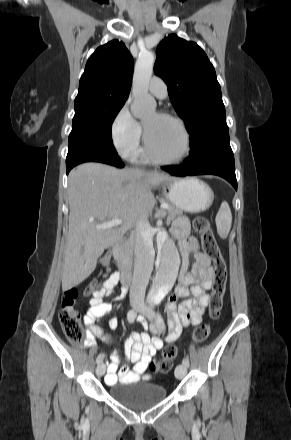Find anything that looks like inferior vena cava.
Wrapping results in <instances>:
<instances>
[{
	"label": "inferior vena cava",
	"mask_w": 291,
	"mask_h": 440,
	"mask_svg": "<svg viewBox=\"0 0 291 440\" xmlns=\"http://www.w3.org/2000/svg\"><path fill=\"white\" fill-rule=\"evenodd\" d=\"M146 218L135 224L134 273L130 288V301L144 304V295L153 270V241Z\"/></svg>",
	"instance_id": "1"
}]
</instances>
